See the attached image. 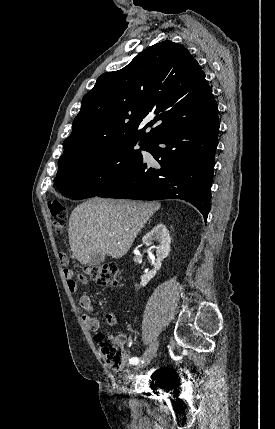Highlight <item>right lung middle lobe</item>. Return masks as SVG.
<instances>
[{"label": "right lung middle lobe", "mask_w": 275, "mask_h": 429, "mask_svg": "<svg viewBox=\"0 0 275 429\" xmlns=\"http://www.w3.org/2000/svg\"><path fill=\"white\" fill-rule=\"evenodd\" d=\"M136 142H121L85 153L59 166L54 183L65 197L98 195L135 168L143 159ZM145 150L147 143H140Z\"/></svg>", "instance_id": "right-lung-middle-lobe-1"}]
</instances>
